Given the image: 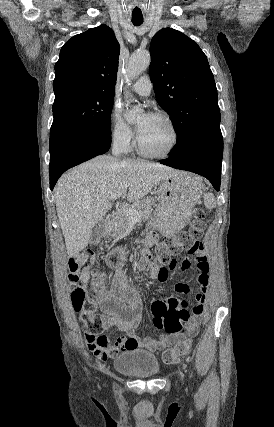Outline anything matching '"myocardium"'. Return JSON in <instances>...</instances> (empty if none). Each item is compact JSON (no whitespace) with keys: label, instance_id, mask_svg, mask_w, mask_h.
<instances>
[{"label":"myocardium","instance_id":"1","mask_svg":"<svg viewBox=\"0 0 274 427\" xmlns=\"http://www.w3.org/2000/svg\"><path fill=\"white\" fill-rule=\"evenodd\" d=\"M151 116L160 118L162 120H164L165 122L168 123L171 131H172V135H173V140L172 143L170 145V147L161 154H152L149 153L147 151H145L141 145L140 139L138 134L136 135V151L138 152V154L144 158H148V159H166L168 158L176 149L178 143H179V131L178 128L174 122V120L172 119V117L164 112H152L150 114Z\"/></svg>","mask_w":274,"mask_h":427}]
</instances>
